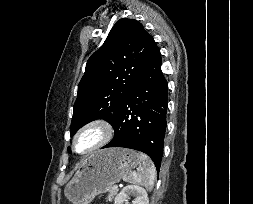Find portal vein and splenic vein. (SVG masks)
<instances>
[{"label": "portal vein and splenic vein", "mask_w": 253, "mask_h": 204, "mask_svg": "<svg viewBox=\"0 0 253 204\" xmlns=\"http://www.w3.org/2000/svg\"><path fill=\"white\" fill-rule=\"evenodd\" d=\"M114 188H115V189H118V186H117V185H114Z\"/></svg>", "instance_id": "1"}]
</instances>
